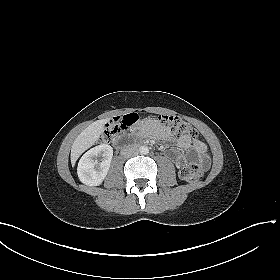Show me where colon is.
<instances>
[{
	"instance_id": "5ec220e1",
	"label": "colon",
	"mask_w": 280,
	"mask_h": 280,
	"mask_svg": "<svg viewBox=\"0 0 280 280\" xmlns=\"http://www.w3.org/2000/svg\"><path fill=\"white\" fill-rule=\"evenodd\" d=\"M159 123L171 133L178 136L195 137L197 132L195 128L186 120L173 115H159ZM138 121V115L135 113L128 114L121 119H114L106 125L101 135V142L110 143L115 141L119 135ZM203 175V170L196 163H189L180 170L182 179L188 182H196Z\"/></svg>"
}]
</instances>
